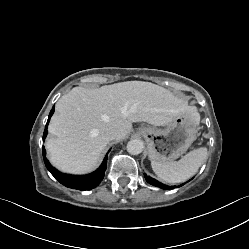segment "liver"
I'll use <instances>...</instances> for the list:
<instances>
[{
  "label": "liver",
  "instance_id": "obj_1",
  "mask_svg": "<svg viewBox=\"0 0 249 249\" xmlns=\"http://www.w3.org/2000/svg\"><path fill=\"white\" fill-rule=\"evenodd\" d=\"M197 112L195 106L169 90L144 81H127L88 89L74 87L56 103L48 127L46 150L50 162L67 173L82 174L96 168L110 140L107 129L124 139L132 123L165 126L177 115ZM197 118L200 116L197 113Z\"/></svg>",
  "mask_w": 249,
  "mask_h": 249
}]
</instances>
